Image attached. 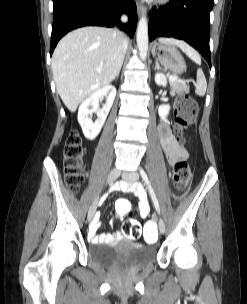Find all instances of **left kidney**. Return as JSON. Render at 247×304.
Listing matches in <instances>:
<instances>
[{
    "label": "left kidney",
    "mask_w": 247,
    "mask_h": 304,
    "mask_svg": "<svg viewBox=\"0 0 247 304\" xmlns=\"http://www.w3.org/2000/svg\"><path fill=\"white\" fill-rule=\"evenodd\" d=\"M155 82L157 85L166 86L167 80L166 76L163 73H156L155 74ZM171 95H174V92L171 93ZM170 110L169 105H160L158 108V113L161 118H165Z\"/></svg>",
    "instance_id": "left-kidney-1"
}]
</instances>
